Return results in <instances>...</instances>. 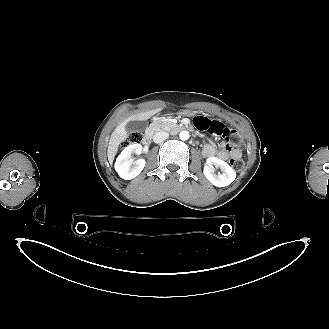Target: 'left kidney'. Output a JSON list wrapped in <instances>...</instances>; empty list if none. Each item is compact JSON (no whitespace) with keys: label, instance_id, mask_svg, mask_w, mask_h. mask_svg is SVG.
<instances>
[{"label":"left kidney","instance_id":"1","mask_svg":"<svg viewBox=\"0 0 329 329\" xmlns=\"http://www.w3.org/2000/svg\"><path fill=\"white\" fill-rule=\"evenodd\" d=\"M213 165L220 168L222 173L216 174ZM204 176L215 186L225 187L231 184L236 178V172L225 161L217 157H209L206 160Z\"/></svg>","mask_w":329,"mask_h":329}]
</instances>
